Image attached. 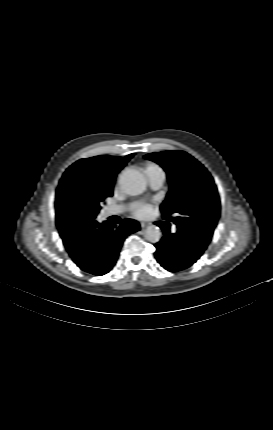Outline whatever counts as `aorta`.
<instances>
[{"instance_id": "aorta-1", "label": "aorta", "mask_w": 273, "mask_h": 430, "mask_svg": "<svg viewBox=\"0 0 273 430\" xmlns=\"http://www.w3.org/2000/svg\"><path fill=\"white\" fill-rule=\"evenodd\" d=\"M119 183L123 191L130 196H137L146 190V179L137 170H127L120 175ZM145 238L151 243L159 242L161 230L158 226L151 225L145 231Z\"/></svg>"}]
</instances>
